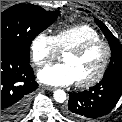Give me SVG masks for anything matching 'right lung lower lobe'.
Listing matches in <instances>:
<instances>
[{
    "instance_id": "right-lung-lower-lobe-1",
    "label": "right lung lower lobe",
    "mask_w": 122,
    "mask_h": 122,
    "mask_svg": "<svg viewBox=\"0 0 122 122\" xmlns=\"http://www.w3.org/2000/svg\"><path fill=\"white\" fill-rule=\"evenodd\" d=\"M37 88L30 60L14 49L1 47V122L23 117L29 95Z\"/></svg>"
}]
</instances>
